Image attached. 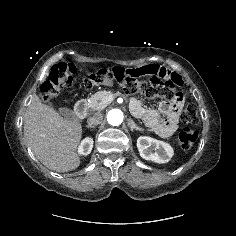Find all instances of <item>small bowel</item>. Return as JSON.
Segmentation results:
<instances>
[{
	"mask_svg": "<svg viewBox=\"0 0 236 236\" xmlns=\"http://www.w3.org/2000/svg\"><path fill=\"white\" fill-rule=\"evenodd\" d=\"M153 75L171 79L177 85L181 84L179 77L174 76L167 69L155 65H146L141 68L137 66L131 68L122 67L117 69L114 73L115 78L119 81L137 79L140 82H146L150 80ZM181 105L182 101L174 105L163 103L161 110L165 114V117H161L155 111L145 109L138 101L133 103V111L136 116L140 117L146 125L153 128L159 135L162 137H170L177 129L176 116Z\"/></svg>",
	"mask_w": 236,
	"mask_h": 236,
	"instance_id": "c3829d8e",
	"label": "small bowel"
}]
</instances>
